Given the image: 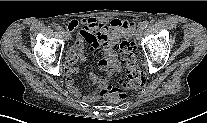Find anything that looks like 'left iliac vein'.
I'll list each match as a JSON object with an SVG mask.
<instances>
[{"label": "left iliac vein", "instance_id": "obj_1", "mask_svg": "<svg viewBox=\"0 0 207 123\" xmlns=\"http://www.w3.org/2000/svg\"><path fill=\"white\" fill-rule=\"evenodd\" d=\"M143 28L139 26L135 32V38L139 40L142 36Z\"/></svg>", "mask_w": 207, "mask_h": 123}]
</instances>
